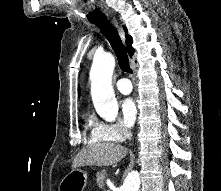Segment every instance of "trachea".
<instances>
[{
	"mask_svg": "<svg viewBox=\"0 0 221 191\" xmlns=\"http://www.w3.org/2000/svg\"><path fill=\"white\" fill-rule=\"evenodd\" d=\"M91 22L100 27L101 32L109 41L111 47L113 48L117 56L121 70L123 72L132 73L126 49L122 43V40L116 28L105 17L93 20Z\"/></svg>",
	"mask_w": 221,
	"mask_h": 191,
	"instance_id": "3493384b",
	"label": "trachea"
}]
</instances>
